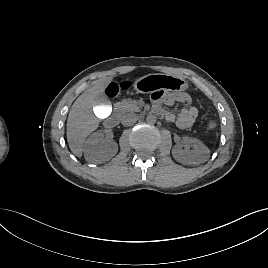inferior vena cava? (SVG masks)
Returning <instances> with one entry per match:
<instances>
[{
  "instance_id": "inferior-vena-cava-1",
  "label": "inferior vena cava",
  "mask_w": 268,
  "mask_h": 268,
  "mask_svg": "<svg viewBox=\"0 0 268 268\" xmlns=\"http://www.w3.org/2000/svg\"><path fill=\"white\" fill-rule=\"evenodd\" d=\"M137 119L138 116L135 113H128L121 118V123L124 126H130L133 125L137 121Z\"/></svg>"
}]
</instances>
